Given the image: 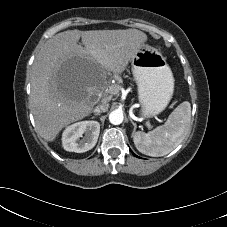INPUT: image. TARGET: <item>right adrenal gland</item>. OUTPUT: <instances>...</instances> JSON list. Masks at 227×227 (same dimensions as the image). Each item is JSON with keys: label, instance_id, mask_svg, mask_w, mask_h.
I'll list each match as a JSON object with an SVG mask.
<instances>
[{"label": "right adrenal gland", "instance_id": "1", "mask_svg": "<svg viewBox=\"0 0 227 227\" xmlns=\"http://www.w3.org/2000/svg\"><path fill=\"white\" fill-rule=\"evenodd\" d=\"M95 115H100V113H95Z\"/></svg>", "mask_w": 227, "mask_h": 227}]
</instances>
